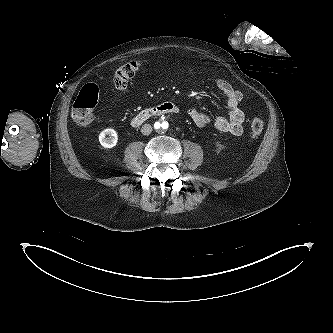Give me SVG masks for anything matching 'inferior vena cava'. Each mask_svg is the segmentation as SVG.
Returning a JSON list of instances; mask_svg holds the SVG:
<instances>
[{
    "label": "inferior vena cava",
    "mask_w": 333,
    "mask_h": 333,
    "mask_svg": "<svg viewBox=\"0 0 333 333\" xmlns=\"http://www.w3.org/2000/svg\"><path fill=\"white\" fill-rule=\"evenodd\" d=\"M152 132V126L150 124H144L141 128L143 135H149Z\"/></svg>",
    "instance_id": "602c4592"
}]
</instances>
